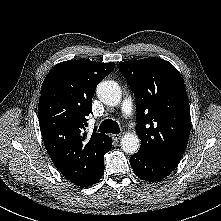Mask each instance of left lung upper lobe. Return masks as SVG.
Wrapping results in <instances>:
<instances>
[{"label": "left lung upper lobe", "mask_w": 221, "mask_h": 221, "mask_svg": "<svg viewBox=\"0 0 221 221\" xmlns=\"http://www.w3.org/2000/svg\"><path fill=\"white\" fill-rule=\"evenodd\" d=\"M136 101L138 152L179 162L190 134V108L177 69L160 58L129 60L117 65Z\"/></svg>", "instance_id": "left-lung-upper-lobe-1"}]
</instances>
